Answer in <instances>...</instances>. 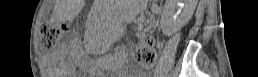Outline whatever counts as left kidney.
<instances>
[{"mask_svg":"<svg viewBox=\"0 0 258 77\" xmlns=\"http://www.w3.org/2000/svg\"><path fill=\"white\" fill-rule=\"evenodd\" d=\"M198 0H185L186 6L183 9L182 14L178 18V21L183 25L187 23L192 17Z\"/></svg>","mask_w":258,"mask_h":77,"instance_id":"obj_1","label":"left kidney"}]
</instances>
